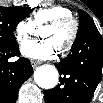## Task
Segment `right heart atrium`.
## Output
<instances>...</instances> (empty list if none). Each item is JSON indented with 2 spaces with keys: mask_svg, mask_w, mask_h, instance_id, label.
I'll return each instance as SVG.
<instances>
[{
  "mask_svg": "<svg viewBox=\"0 0 103 103\" xmlns=\"http://www.w3.org/2000/svg\"><path fill=\"white\" fill-rule=\"evenodd\" d=\"M34 24L28 20H20L14 28V37L17 43L23 44L33 33Z\"/></svg>",
  "mask_w": 103,
  "mask_h": 103,
  "instance_id": "1",
  "label": "right heart atrium"
}]
</instances>
